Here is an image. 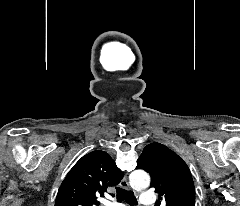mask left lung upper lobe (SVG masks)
I'll return each mask as SVG.
<instances>
[{
	"mask_svg": "<svg viewBox=\"0 0 240 206\" xmlns=\"http://www.w3.org/2000/svg\"><path fill=\"white\" fill-rule=\"evenodd\" d=\"M137 169L151 176V187L166 202V206H195V188L188 166L171 149L160 143L147 145Z\"/></svg>",
	"mask_w": 240,
	"mask_h": 206,
	"instance_id": "left-lung-upper-lobe-1",
	"label": "left lung upper lobe"
}]
</instances>
